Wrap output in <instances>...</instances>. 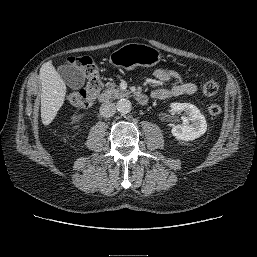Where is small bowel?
Wrapping results in <instances>:
<instances>
[{
	"instance_id": "small-bowel-1",
	"label": "small bowel",
	"mask_w": 257,
	"mask_h": 257,
	"mask_svg": "<svg viewBox=\"0 0 257 257\" xmlns=\"http://www.w3.org/2000/svg\"><path fill=\"white\" fill-rule=\"evenodd\" d=\"M154 76L161 82L176 81L172 87L159 88L152 91V97L166 100L180 95H191L197 92L198 86L192 81H186L181 73L173 69L160 68L154 72Z\"/></svg>"
}]
</instances>
